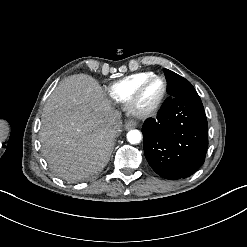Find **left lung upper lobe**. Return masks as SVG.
Segmentation results:
<instances>
[{"label":"left lung upper lobe","mask_w":247,"mask_h":247,"mask_svg":"<svg viewBox=\"0 0 247 247\" xmlns=\"http://www.w3.org/2000/svg\"><path fill=\"white\" fill-rule=\"evenodd\" d=\"M164 72L168 81L167 92L170 95L164 103L176 97L198 95L193 85L188 80L168 69H164Z\"/></svg>","instance_id":"obj_1"}]
</instances>
